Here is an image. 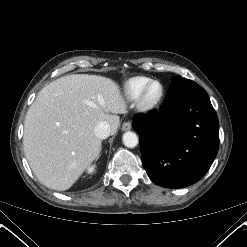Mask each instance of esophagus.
Here are the masks:
<instances>
[{"instance_id": "34e87169", "label": "esophagus", "mask_w": 247, "mask_h": 247, "mask_svg": "<svg viewBox=\"0 0 247 247\" xmlns=\"http://www.w3.org/2000/svg\"><path fill=\"white\" fill-rule=\"evenodd\" d=\"M130 129H131V123L129 121L124 122L123 125H122V130L123 131H127V130H130Z\"/></svg>"}]
</instances>
